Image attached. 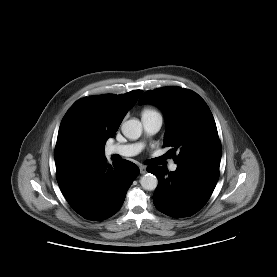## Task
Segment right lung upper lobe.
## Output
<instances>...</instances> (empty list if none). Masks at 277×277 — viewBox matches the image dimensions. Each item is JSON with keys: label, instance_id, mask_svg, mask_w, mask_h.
<instances>
[{"label": "right lung upper lobe", "instance_id": "1", "mask_svg": "<svg viewBox=\"0 0 277 277\" xmlns=\"http://www.w3.org/2000/svg\"><path fill=\"white\" fill-rule=\"evenodd\" d=\"M142 92L90 96L74 103L63 117L58 132L54 154L57 172L106 159L105 142L115 135Z\"/></svg>", "mask_w": 277, "mask_h": 277}]
</instances>
